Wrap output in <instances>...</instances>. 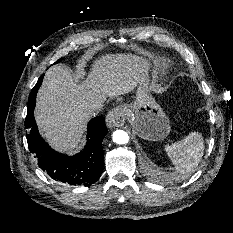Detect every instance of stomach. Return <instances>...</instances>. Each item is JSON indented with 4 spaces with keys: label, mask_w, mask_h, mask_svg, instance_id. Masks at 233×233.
Returning <instances> with one entry per match:
<instances>
[{
    "label": "stomach",
    "mask_w": 233,
    "mask_h": 233,
    "mask_svg": "<svg viewBox=\"0 0 233 233\" xmlns=\"http://www.w3.org/2000/svg\"><path fill=\"white\" fill-rule=\"evenodd\" d=\"M124 111L140 138L160 141L170 133L169 119L150 94L145 73L141 77L133 101L124 107Z\"/></svg>",
    "instance_id": "stomach-1"
}]
</instances>
